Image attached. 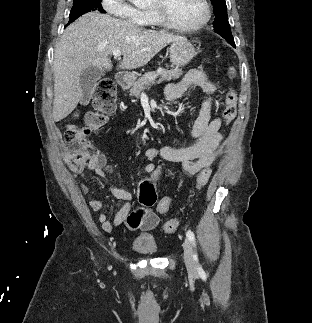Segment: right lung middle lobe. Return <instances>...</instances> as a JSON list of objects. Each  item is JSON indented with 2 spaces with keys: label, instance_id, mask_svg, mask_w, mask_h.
<instances>
[{
  "label": "right lung middle lobe",
  "instance_id": "dd1d6c3e",
  "mask_svg": "<svg viewBox=\"0 0 312 323\" xmlns=\"http://www.w3.org/2000/svg\"><path fill=\"white\" fill-rule=\"evenodd\" d=\"M100 2L101 0H73V7L70 11L68 24L75 21L79 16L90 11L105 13Z\"/></svg>",
  "mask_w": 312,
  "mask_h": 323
}]
</instances>
